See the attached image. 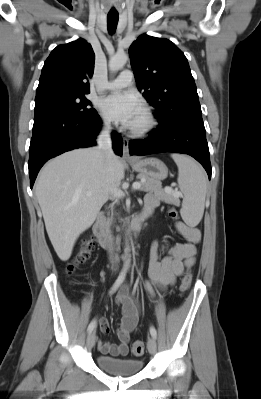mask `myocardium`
Returning <instances> with one entry per match:
<instances>
[{"label":"myocardium","mask_w":261,"mask_h":399,"mask_svg":"<svg viewBox=\"0 0 261 399\" xmlns=\"http://www.w3.org/2000/svg\"><path fill=\"white\" fill-rule=\"evenodd\" d=\"M157 126V120L150 109H143V122L141 125L130 128V133L141 137L151 133Z\"/></svg>","instance_id":"obj_1"}]
</instances>
